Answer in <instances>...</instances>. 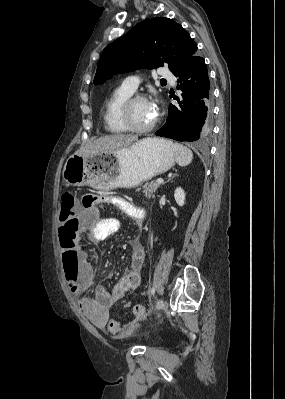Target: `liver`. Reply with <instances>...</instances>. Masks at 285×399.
I'll list each match as a JSON object with an SVG mask.
<instances>
[{"label":"liver","instance_id":"6515ba94","mask_svg":"<svg viewBox=\"0 0 285 399\" xmlns=\"http://www.w3.org/2000/svg\"><path fill=\"white\" fill-rule=\"evenodd\" d=\"M138 136L114 134L100 137L88 145L81 147L76 154L92 155L95 153H117L131 146Z\"/></svg>","mask_w":285,"mask_h":399}]
</instances>
